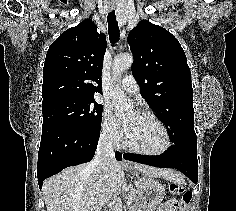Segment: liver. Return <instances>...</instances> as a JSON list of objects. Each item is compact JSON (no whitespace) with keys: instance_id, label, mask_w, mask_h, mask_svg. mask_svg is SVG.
<instances>
[{"instance_id":"6515ba94","label":"liver","mask_w":236,"mask_h":211,"mask_svg":"<svg viewBox=\"0 0 236 211\" xmlns=\"http://www.w3.org/2000/svg\"><path fill=\"white\" fill-rule=\"evenodd\" d=\"M89 164L68 167L44 181L42 191L47 211H100L121 189L124 184L122 163L113 160L104 170L89 168ZM134 168L137 178L142 173L143 178L178 179V174L172 170L142 164H134ZM138 184L139 181H135V185Z\"/></svg>"}]
</instances>
